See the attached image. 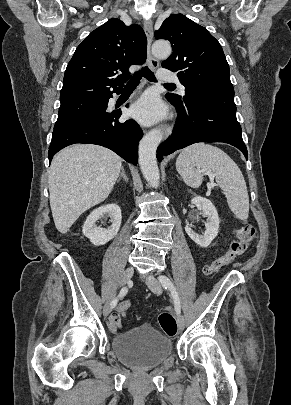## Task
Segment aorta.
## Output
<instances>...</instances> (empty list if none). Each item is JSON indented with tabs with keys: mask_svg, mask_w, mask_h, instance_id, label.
<instances>
[{
	"mask_svg": "<svg viewBox=\"0 0 291 405\" xmlns=\"http://www.w3.org/2000/svg\"><path fill=\"white\" fill-rule=\"evenodd\" d=\"M172 48L168 41L157 40L152 45V53L159 59H166L171 55ZM163 137L161 129L149 131L139 144V165L145 180L150 186L157 188L160 184V174L156 160V150Z\"/></svg>",
	"mask_w": 291,
	"mask_h": 405,
	"instance_id": "obj_1",
	"label": "aorta"
}]
</instances>
